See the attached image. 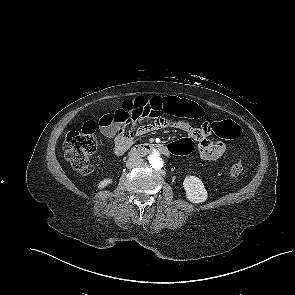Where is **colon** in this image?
I'll return each mask as SVG.
<instances>
[{"label":"colon","mask_w":295,"mask_h":295,"mask_svg":"<svg viewBox=\"0 0 295 295\" xmlns=\"http://www.w3.org/2000/svg\"><path fill=\"white\" fill-rule=\"evenodd\" d=\"M143 100L137 98L124 104V107L133 109L142 104ZM150 106H156V103H150ZM169 110L173 115L188 118L200 119L204 116V110L197 103L186 99L172 98ZM96 129L95 121H87L80 131H71L67 134L64 141V154L66 160L79 173L89 174L93 171V165L90 161L91 154L96 150L97 144L93 137ZM211 130L219 137L224 139H236L242 133L241 127L232 120L215 122L211 125ZM166 149L171 154L186 155L193 151L194 144L189 139H183L178 142L171 141ZM243 171V165L240 162L233 164L229 169L231 177H237Z\"/></svg>","instance_id":"colon-1"}]
</instances>
